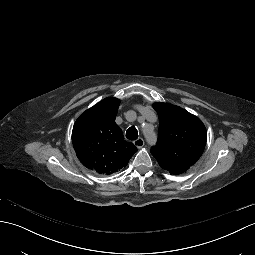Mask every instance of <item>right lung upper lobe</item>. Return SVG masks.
Masks as SVG:
<instances>
[{
  "label": "right lung upper lobe",
  "mask_w": 255,
  "mask_h": 255,
  "mask_svg": "<svg viewBox=\"0 0 255 255\" xmlns=\"http://www.w3.org/2000/svg\"><path fill=\"white\" fill-rule=\"evenodd\" d=\"M120 101L106 98L86 110L75 122L72 142L80 162L99 174L110 175L125 167L137 151L124 140L115 123Z\"/></svg>",
  "instance_id": "obj_1"
}]
</instances>
